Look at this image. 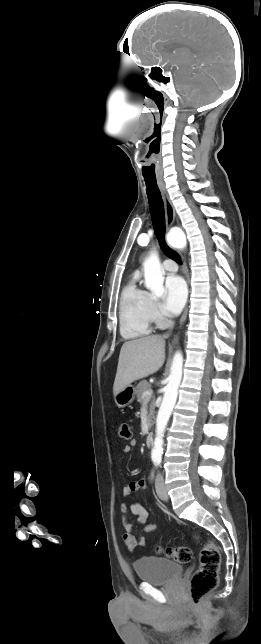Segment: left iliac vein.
<instances>
[{
    "instance_id": "1",
    "label": "left iliac vein",
    "mask_w": 261,
    "mask_h": 644,
    "mask_svg": "<svg viewBox=\"0 0 261 644\" xmlns=\"http://www.w3.org/2000/svg\"><path fill=\"white\" fill-rule=\"evenodd\" d=\"M155 488H156L157 495L161 500H164V501L168 500L167 489L164 484L163 476L160 473L156 477Z\"/></svg>"
}]
</instances>
